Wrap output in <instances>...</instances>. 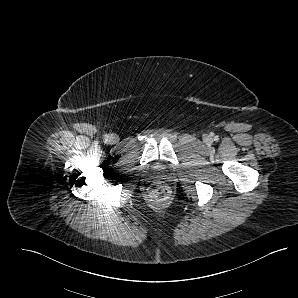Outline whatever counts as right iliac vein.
<instances>
[{"mask_svg": "<svg viewBox=\"0 0 298 298\" xmlns=\"http://www.w3.org/2000/svg\"><path fill=\"white\" fill-rule=\"evenodd\" d=\"M109 141H110L111 143H116V142L118 141V136H116V135H114V134L110 135V136H109Z\"/></svg>", "mask_w": 298, "mask_h": 298, "instance_id": "obj_1", "label": "right iliac vein"}]
</instances>
